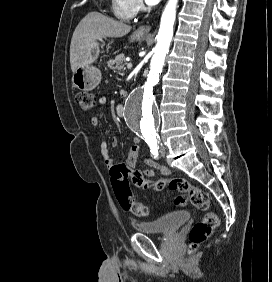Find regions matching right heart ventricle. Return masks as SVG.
Instances as JSON below:
<instances>
[{
    "label": "right heart ventricle",
    "mask_w": 272,
    "mask_h": 282,
    "mask_svg": "<svg viewBox=\"0 0 272 282\" xmlns=\"http://www.w3.org/2000/svg\"><path fill=\"white\" fill-rule=\"evenodd\" d=\"M114 14L122 20H129L131 15L126 12L127 0H112Z\"/></svg>",
    "instance_id": "1"
}]
</instances>
